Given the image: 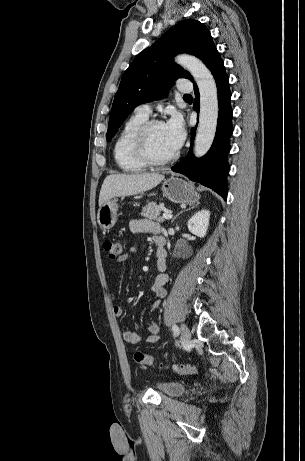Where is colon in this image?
<instances>
[{
    "mask_svg": "<svg viewBox=\"0 0 305 461\" xmlns=\"http://www.w3.org/2000/svg\"><path fill=\"white\" fill-rule=\"evenodd\" d=\"M105 251L109 254L110 258H118L124 254L126 243L123 240L109 238L103 243ZM134 360L136 363L144 366L158 367L160 369H170L181 375H195L198 373V368L191 364H165L158 362L151 356L141 352L135 351Z\"/></svg>",
    "mask_w": 305,
    "mask_h": 461,
    "instance_id": "colon-1",
    "label": "colon"
}]
</instances>
